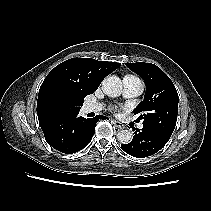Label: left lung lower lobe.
<instances>
[{
    "label": "left lung lower lobe",
    "instance_id": "1",
    "mask_svg": "<svg viewBox=\"0 0 211 211\" xmlns=\"http://www.w3.org/2000/svg\"><path fill=\"white\" fill-rule=\"evenodd\" d=\"M169 139L147 129H137L132 141L128 144H121L122 149L131 156L144 158L151 156L164 147Z\"/></svg>",
    "mask_w": 211,
    "mask_h": 211
}]
</instances>
